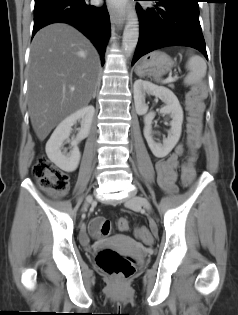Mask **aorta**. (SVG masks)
Wrapping results in <instances>:
<instances>
[{"instance_id":"aorta-1","label":"aorta","mask_w":238,"mask_h":315,"mask_svg":"<svg viewBox=\"0 0 238 315\" xmlns=\"http://www.w3.org/2000/svg\"><path fill=\"white\" fill-rule=\"evenodd\" d=\"M139 38V24L135 13H130L123 32L122 48L127 54H131L137 45Z\"/></svg>"}]
</instances>
